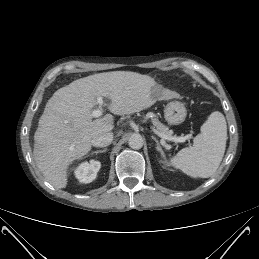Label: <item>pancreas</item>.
Returning a JSON list of instances; mask_svg holds the SVG:
<instances>
[{
	"label": "pancreas",
	"instance_id": "1",
	"mask_svg": "<svg viewBox=\"0 0 259 259\" xmlns=\"http://www.w3.org/2000/svg\"><path fill=\"white\" fill-rule=\"evenodd\" d=\"M152 123L154 125V127L162 134L167 135V136H171L172 135V131L169 130L168 127H166L165 125H163L158 119H153Z\"/></svg>",
	"mask_w": 259,
	"mask_h": 259
}]
</instances>
